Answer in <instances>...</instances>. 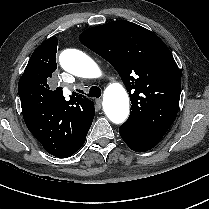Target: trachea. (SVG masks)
<instances>
[{
  "label": "trachea",
  "instance_id": "obj_1",
  "mask_svg": "<svg viewBox=\"0 0 209 209\" xmlns=\"http://www.w3.org/2000/svg\"><path fill=\"white\" fill-rule=\"evenodd\" d=\"M78 92L83 93L81 90H78ZM101 94H102V92H101V89L99 87L92 86L90 88L89 92L86 95L89 96V97L99 98L101 96Z\"/></svg>",
  "mask_w": 209,
  "mask_h": 209
}]
</instances>
